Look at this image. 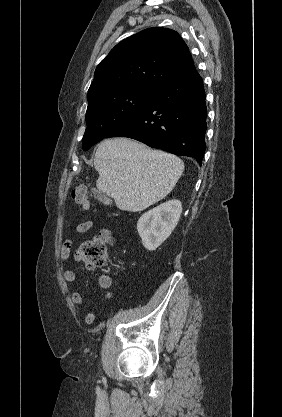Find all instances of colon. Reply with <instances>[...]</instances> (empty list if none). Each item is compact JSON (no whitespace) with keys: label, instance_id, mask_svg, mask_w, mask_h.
I'll list each match as a JSON object with an SVG mask.
<instances>
[{"label":"colon","instance_id":"1","mask_svg":"<svg viewBox=\"0 0 282 417\" xmlns=\"http://www.w3.org/2000/svg\"><path fill=\"white\" fill-rule=\"evenodd\" d=\"M73 199L82 206L89 204V193L82 184H76L72 188ZM108 250L104 241L93 238L83 242L75 251L77 261L91 268H102L107 263Z\"/></svg>","mask_w":282,"mask_h":417}]
</instances>
